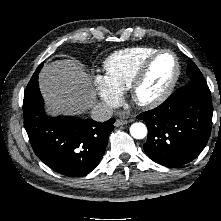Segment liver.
Instances as JSON below:
<instances>
[{
    "label": "liver",
    "mask_w": 221,
    "mask_h": 221,
    "mask_svg": "<svg viewBox=\"0 0 221 221\" xmlns=\"http://www.w3.org/2000/svg\"><path fill=\"white\" fill-rule=\"evenodd\" d=\"M39 87L51 115H79L95 103L91 78L75 59L45 65L39 74Z\"/></svg>",
    "instance_id": "1"
}]
</instances>
